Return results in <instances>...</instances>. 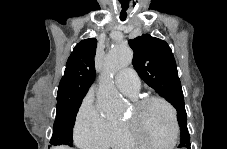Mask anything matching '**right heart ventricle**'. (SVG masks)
Returning a JSON list of instances; mask_svg holds the SVG:
<instances>
[{
    "instance_id": "right-heart-ventricle-1",
    "label": "right heart ventricle",
    "mask_w": 227,
    "mask_h": 149,
    "mask_svg": "<svg viewBox=\"0 0 227 149\" xmlns=\"http://www.w3.org/2000/svg\"><path fill=\"white\" fill-rule=\"evenodd\" d=\"M116 148H133L140 146L129 134L124 122H117V132L112 143Z\"/></svg>"
}]
</instances>
